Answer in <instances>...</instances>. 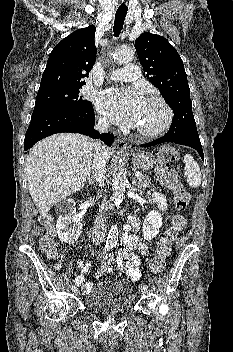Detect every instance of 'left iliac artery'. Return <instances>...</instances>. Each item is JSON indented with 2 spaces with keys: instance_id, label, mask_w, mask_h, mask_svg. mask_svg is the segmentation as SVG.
<instances>
[{
  "instance_id": "44dca946",
  "label": "left iliac artery",
  "mask_w": 233,
  "mask_h": 352,
  "mask_svg": "<svg viewBox=\"0 0 233 352\" xmlns=\"http://www.w3.org/2000/svg\"><path fill=\"white\" fill-rule=\"evenodd\" d=\"M142 288H143V290L148 291V285L145 284V285H143Z\"/></svg>"
}]
</instances>
